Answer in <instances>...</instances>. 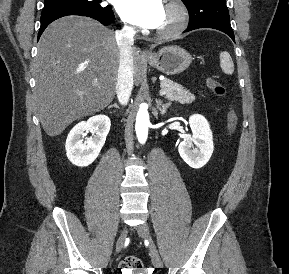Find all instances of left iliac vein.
<instances>
[{
	"label": "left iliac vein",
	"instance_id": "1",
	"mask_svg": "<svg viewBox=\"0 0 289 274\" xmlns=\"http://www.w3.org/2000/svg\"><path fill=\"white\" fill-rule=\"evenodd\" d=\"M137 232L140 237L149 240L150 242V255L152 263L155 267L160 268L163 266L162 259L158 253L156 245L151 238L150 228L147 223H143L137 227Z\"/></svg>",
	"mask_w": 289,
	"mask_h": 274
}]
</instances>
